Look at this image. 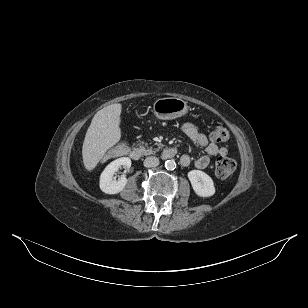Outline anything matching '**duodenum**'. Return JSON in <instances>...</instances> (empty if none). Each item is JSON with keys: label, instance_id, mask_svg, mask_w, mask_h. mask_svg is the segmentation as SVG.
I'll list each match as a JSON object with an SVG mask.
<instances>
[{"label": "duodenum", "instance_id": "obj_1", "mask_svg": "<svg viewBox=\"0 0 308 308\" xmlns=\"http://www.w3.org/2000/svg\"><path fill=\"white\" fill-rule=\"evenodd\" d=\"M177 151L174 148H167L162 151L161 156L163 159H172L175 157ZM144 156V151L140 148H134L130 152V158L134 161L140 160Z\"/></svg>", "mask_w": 308, "mask_h": 308}]
</instances>
